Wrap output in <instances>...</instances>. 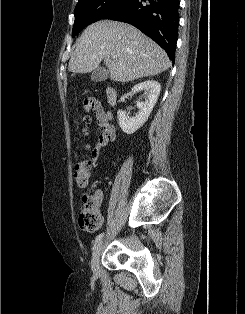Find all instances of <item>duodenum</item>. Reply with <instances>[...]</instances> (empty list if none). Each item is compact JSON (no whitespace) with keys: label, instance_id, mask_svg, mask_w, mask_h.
Listing matches in <instances>:
<instances>
[{"label":"duodenum","instance_id":"duodenum-1","mask_svg":"<svg viewBox=\"0 0 245 314\" xmlns=\"http://www.w3.org/2000/svg\"><path fill=\"white\" fill-rule=\"evenodd\" d=\"M106 100L107 103L111 106L115 105L117 101V91L113 87H108L106 89Z\"/></svg>","mask_w":245,"mask_h":314}]
</instances>
